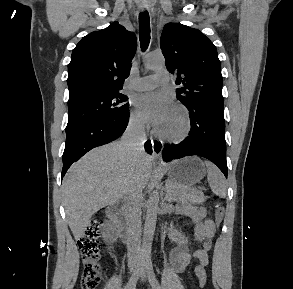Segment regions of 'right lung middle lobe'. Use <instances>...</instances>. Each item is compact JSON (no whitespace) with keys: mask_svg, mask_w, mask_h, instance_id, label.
Listing matches in <instances>:
<instances>
[{"mask_svg":"<svg viewBox=\"0 0 293 289\" xmlns=\"http://www.w3.org/2000/svg\"><path fill=\"white\" fill-rule=\"evenodd\" d=\"M127 96L120 92L96 94L68 101L66 132L85 123L129 111Z\"/></svg>","mask_w":293,"mask_h":289,"instance_id":"right-lung-middle-lobe-1","label":"right lung middle lobe"}]
</instances>
